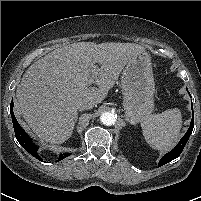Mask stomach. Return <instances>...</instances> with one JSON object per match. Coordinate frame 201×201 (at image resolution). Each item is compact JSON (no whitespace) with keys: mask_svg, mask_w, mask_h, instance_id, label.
<instances>
[{"mask_svg":"<svg viewBox=\"0 0 201 201\" xmlns=\"http://www.w3.org/2000/svg\"><path fill=\"white\" fill-rule=\"evenodd\" d=\"M123 106L131 124L144 121L154 110L155 83L150 55L139 51L122 72Z\"/></svg>","mask_w":201,"mask_h":201,"instance_id":"obj_1","label":"stomach"}]
</instances>
